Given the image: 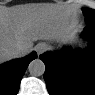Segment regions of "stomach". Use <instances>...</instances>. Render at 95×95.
Masks as SVG:
<instances>
[{
  "instance_id": "stomach-1",
  "label": "stomach",
  "mask_w": 95,
  "mask_h": 95,
  "mask_svg": "<svg viewBox=\"0 0 95 95\" xmlns=\"http://www.w3.org/2000/svg\"><path fill=\"white\" fill-rule=\"evenodd\" d=\"M76 33L77 29L71 31L70 33L66 34L63 40L61 41L63 44H73L76 40Z\"/></svg>"
}]
</instances>
